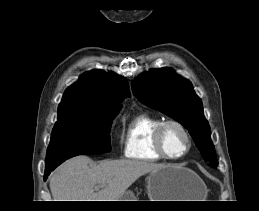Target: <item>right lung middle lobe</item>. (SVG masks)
I'll use <instances>...</instances> for the list:
<instances>
[{
  "instance_id": "dd1d6c3e",
  "label": "right lung middle lobe",
  "mask_w": 259,
  "mask_h": 211,
  "mask_svg": "<svg viewBox=\"0 0 259 211\" xmlns=\"http://www.w3.org/2000/svg\"><path fill=\"white\" fill-rule=\"evenodd\" d=\"M116 112L77 109L58 115L47 150L46 168L80 154L111 151L109 131Z\"/></svg>"
}]
</instances>
